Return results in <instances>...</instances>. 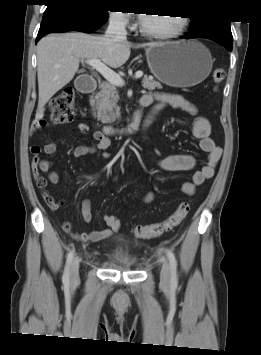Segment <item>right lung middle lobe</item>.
Instances as JSON below:
<instances>
[{"mask_svg": "<svg viewBox=\"0 0 261 355\" xmlns=\"http://www.w3.org/2000/svg\"><path fill=\"white\" fill-rule=\"evenodd\" d=\"M96 0H84L80 2H76L73 4L78 5L82 9L87 10L88 12L92 13L96 17H104L107 18V11L104 8H101Z\"/></svg>", "mask_w": 261, "mask_h": 355, "instance_id": "1", "label": "right lung middle lobe"}]
</instances>
